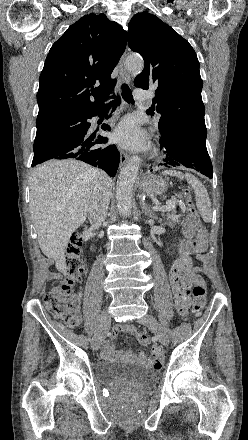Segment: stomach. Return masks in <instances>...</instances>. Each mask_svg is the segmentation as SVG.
<instances>
[{"label":"stomach","instance_id":"obj_1","mask_svg":"<svg viewBox=\"0 0 248 440\" xmlns=\"http://www.w3.org/2000/svg\"><path fill=\"white\" fill-rule=\"evenodd\" d=\"M138 189L147 195H162L168 188L167 182L158 176L142 177L137 183Z\"/></svg>","mask_w":248,"mask_h":440}]
</instances>
